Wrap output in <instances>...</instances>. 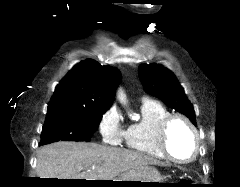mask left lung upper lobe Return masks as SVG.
Here are the masks:
<instances>
[{"label": "left lung upper lobe", "instance_id": "obj_1", "mask_svg": "<svg viewBox=\"0 0 240 187\" xmlns=\"http://www.w3.org/2000/svg\"><path fill=\"white\" fill-rule=\"evenodd\" d=\"M138 74L147 93L160 98L167 106L186 115L196 125L193 105L170 70L158 64H142L138 68Z\"/></svg>", "mask_w": 240, "mask_h": 187}]
</instances>
